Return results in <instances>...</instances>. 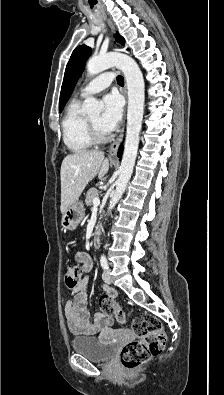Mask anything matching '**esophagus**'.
Returning a JSON list of instances; mask_svg holds the SVG:
<instances>
[{
	"instance_id": "34e87169",
	"label": "esophagus",
	"mask_w": 224,
	"mask_h": 395,
	"mask_svg": "<svg viewBox=\"0 0 224 395\" xmlns=\"http://www.w3.org/2000/svg\"><path fill=\"white\" fill-rule=\"evenodd\" d=\"M107 23H108L109 27L111 28L112 32L114 33L115 28H114L113 23L110 20H107ZM123 93L126 96V86L124 87ZM123 135H124V127L121 129L119 136L116 138V140L111 144V146L109 148V151H108L109 158H114L116 156V153L122 143Z\"/></svg>"
}]
</instances>
